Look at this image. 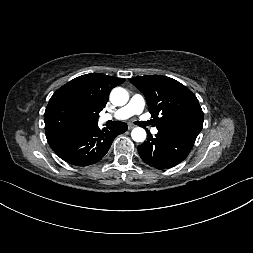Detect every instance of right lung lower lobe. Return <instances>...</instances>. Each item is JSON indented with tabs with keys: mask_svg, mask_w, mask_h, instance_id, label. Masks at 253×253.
I'll return each instance as SVG.
<instances>
[{
	"mask_svg": "<svg viewBox=\"0 0 253 253\" xmlns=\"http://www.w3.org/2000/svg\"><path fill=\"white\" fill-rule=\"evenodd\" d=\"M124 122L100 129L96 124L87 128L47 139L52 150L64 161L76 166H88L100 161L108 152L112 141L127 131Z\"/></svg>",
	"mask_w": 253,
	"mask_h": 253,
	"instance_id": "1",
	"label": "right lung lower lobe"
}]
</instances>
